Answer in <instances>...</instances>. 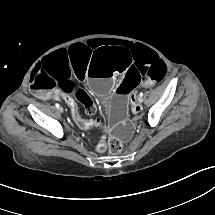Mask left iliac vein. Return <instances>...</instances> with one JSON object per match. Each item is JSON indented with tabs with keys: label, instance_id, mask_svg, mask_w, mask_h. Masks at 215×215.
<instances>
[{
	"label": "left iliac vein",
	"instance_id": "4c4485c4",
	"mask_svg": "<svg viewBox=\"0 0 215 215\" xmlns=\"http://www.w3.org/2000/svg\"><path fill=\"white\" fill-rule=\"evenodd\" d=\"M138 105H140L142 103L141 99L138 98Z\"/></svg>",
	"mask_w": 215,
	"mask_h": 215
}]
</instances>
